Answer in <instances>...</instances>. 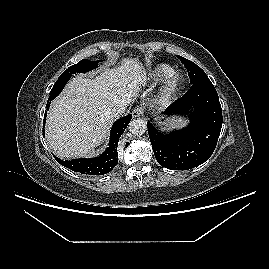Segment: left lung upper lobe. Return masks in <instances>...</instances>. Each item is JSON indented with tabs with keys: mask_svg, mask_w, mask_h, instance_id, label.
<instances>
[{
	"mask_svg": "<svg viewBox=\"0 0 269 269\" xmlns=\"http://www.w3.org/2000/svg\"><path fill=\"white\" fill-rule=\"evenodd\" d=\"M177 57L186 67L191 84L208 78L205 72L198 65L179 55H177Z\"/></svg>",
	"mask_w": 269,
	"mask_h": 269,
	"instance_id": "left-lung-upper-lobe-1",
	"label": "left lung upper lobe"
}]
</instances>
